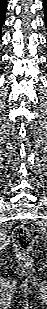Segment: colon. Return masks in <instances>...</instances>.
Here are the masks:
<instances>
[{"instance_id":"colon-1","label":"colon","mask_w":47,"mask_h":309,"mask_svg":"<svg viewBox=\"0 0 47 309\" xmlns=\"http://www.w3.org/2000/svg\"><path fill=\"white\" fill-rule=\"evenodd\" d=\"M12 242L17 261L23 266H28L31 263L30 252L34 244L29 229L23 225L17 226L12 234Z\"/></svg>"}]
</instances>
